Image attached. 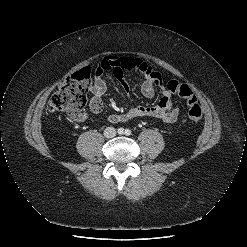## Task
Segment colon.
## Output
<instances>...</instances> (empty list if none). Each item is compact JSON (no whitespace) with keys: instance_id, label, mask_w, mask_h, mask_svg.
Returning <instances> with one entry per match:
<instances>
[{"instance_id":"obj_1","label":"colon","mask_w":247,"mask_h":247,"mask_svg":"<svg viewBox=\"0 0 247 247\" xmlns=\"http://www.w3.org/2000/svg\"><path fill=\"white\" fill-rule=\"evenodd\" d=\"M90 77V69L83 68L66 78L51 96L47 106L48 110L68 112L70 115L81 112L87 102ZM167 89L171 94L186 101L190 121L199 122L202 117V109L191 88L172 80L168 82Z\"/></svg>"}]
</instances>
